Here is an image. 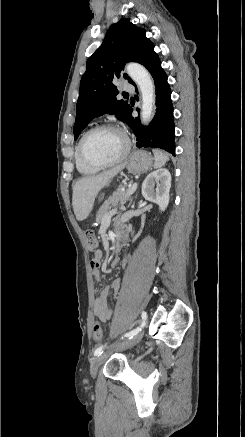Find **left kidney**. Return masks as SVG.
<instances>
[{
  "instance_id": "obj_1",
  "label": "left kidney",
  "mask_w": 245,
  "mask_h": 437,
  "mask_svg": "<svg viewBox=\"0 0 245 437\" xmlns=\"http://www.w3.org/2000/svg\"><path fill=\"white\" fill-rule=\"evenodd\" d=\"M170 188L171 174L168 169L161 168L151 172L145 178L142 184V195L146 200L156 203L161 211H165L169 204Z\"/></svg>"
}]
</instances>
